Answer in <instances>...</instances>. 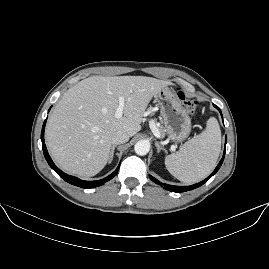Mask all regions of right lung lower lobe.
<instances>
[{"instance_id":"98d812e1","label":"right lung lower lobe","mask_w":269,"mask_h":269,"mask_svg":"<svg viewBox=\"0 0 269 269\" xmlns=\"http://www.w3.org/2000/svg\"><path fill=\"white\" fill-rule=\"evenodd\" d=\"M47 120V119H46ZM46 120L44 121L43 123V127H42V132H41V140H42V148H43V153H44V156L48 162V164L50 165V167L56 171L58 173V175L64 179L66 182L72 184V185H75V186H78V187H81V188H84V189H89V188H94V187H98L102 184H104L105 182L109 181L110 179H112L118 172L119 170V166L117 167V169L112 173L110 174L109 176H107L106 178L104 179H101V180H97V181H91V182H88V181H84V180H80L79 178H76V177H73V176H70L64 172H62L58 167H56V165L53 163L52 159L50 158L49 154H48V151H47V148L45 146V141H44V129H45V124H46Z\"/></svg>"}]
</instances>
